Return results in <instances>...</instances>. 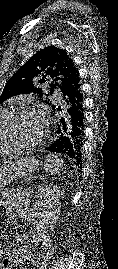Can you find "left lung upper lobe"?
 <instances>
[{"label": "left lung upper lobe", "mask_w": 118, "mask_h": 269, "mask_svg": "<svg viewBox=\"0 0 118 269\" xmlns=\"http://www.w3.org/2000/svg\"><path fill=\"white\" fill-rule=\"evenodd\" d=\"M46 85L50 93L45 94L38 85ZM81 87L79 73L67 52L55 46H48L33 55L8 80L0 96V104L8 98L26 93L45 95L44 102L52 109L55 105L48 98L55 89L63 95Z\"/></svg>", "instance_id": "5c2ea615"}]
</instances>
